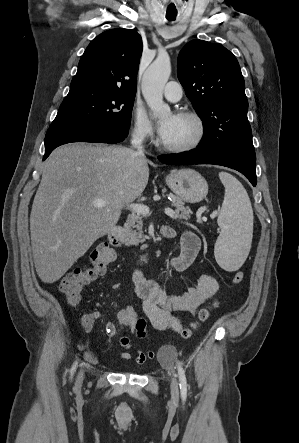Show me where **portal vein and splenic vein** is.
Here are the masks:
<instances>
[{"mask_svg":"<svg viewBox=\"0 0 299 443\" xmlns=\"http://www.w3.org/2000/svg\"><path fill=\"white\" fill-rule=\"evenodd\" d=\"M92 204L95 207H104L107 205L106 200L99 198V199H95ZM128 209H130L132 212H136L138 214H142L143 216H147L150 214V210L149 207L143 204H130L128 205ZM165 214L173 217L174 216V211L171 208H165Z\"/></svg>","mask_w":299,"mask_h":443,"instance_id":"portal-vein-and-splenic-vein-1","label":"portal vein and splenic vein"}]
</instances>
